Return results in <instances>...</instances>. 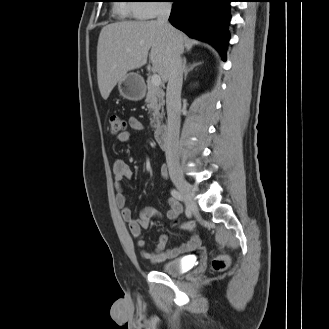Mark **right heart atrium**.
<instances>
[{
	"mask_svg": "<svg viewBox=\"0 0 329 329\" xmlns=\"http://www.w3.org/2000/svg\"><path fill=\"white\" fill-rule=\"evenodd\" d=\"M167 0H138L134 4L133 15L138 19H152L168 9Z\"/></svg>",
	"mask_w": 329,
	"mask_h": 329,
	"instance_id": "right-heart-atrium-1",
	"label": "right heart atrium"
}]
</instances>
